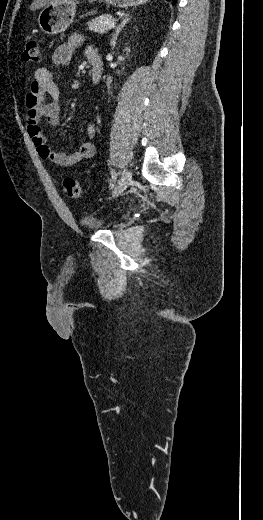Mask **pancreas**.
Returning a JSON list of instances; mask_svg holds the SVG:
<instances>
[{
  "instance_id": "cf45deb5",
  "label": "pancreas",
  "mask_w": 263,
  "mask_h": 520,
  "mask_svg": "<svg viewBox=\"0 0 263 520\" xmlns=\"http://www.w3.org/2000/svg\"><path fill=\"white\" fill-rule=\"evenodd\" d=\"M115 19L112 15L105 14L99 17L92 19V21L87 22V26L89 30L97 32V33H105L108 31V23L105 22H114Z\"/></svg>"
}]
</instances>
